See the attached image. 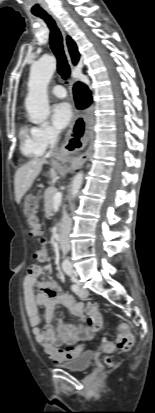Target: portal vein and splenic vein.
I'll return each mask as SVG.
<instances>
[{"label":"portal vein and splenic vein","mask_w":155,"mask_h":413,"mask_svg":"<svg viewBox=\"0 0 155 413\" xmlns=\"http://www.w3.org/2000/svg\"><path fill=\"white\" fill-rule=\"evenodd\" d=\"M61 201H62V193H61V192H57V193L54 195L53 204H54V205H58V204L61 203Z\"/></svg>","instance_id":"portal-vein-and-splenic-vein-1"}]
</instances>
